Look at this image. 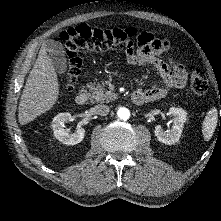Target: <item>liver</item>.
Segmentation results:
<instances>
[{
  "label": "liver",
  "instance_id": "6515ba94",
  "mask_svg": "<svg viewBox=\"0 0 221 221\" xmlns=\"http://www.w3.org/2000/svg\"><path fill=\"white\" fill-rule=\"evenodd\" d=\"M59 95L55 68L43 44L29 73L19 102L18 120L25 125L50 110Z\"/></svg>",
  "mask_w": 221,
  "mask_h": 221
}]
</instances>
